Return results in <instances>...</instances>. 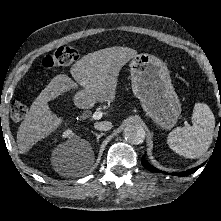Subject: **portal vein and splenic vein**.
Wrapping results in <instances>:
<instances>
[{
	"label": "portal vein and splenic vein",
	"mask_w": 221,
	"mask_h": 221,
	"mask_svg": "<svg viewBox=\"0 0 221 221\" xmlns=\"http://www.w3.org/2000/svg\"><path fill=\"white\" fill-rule=\"evenodd\" d=\"M102 115H103V113L101 111H96L93 113L92 118L94 120H99V119H101Z\"/></svg>",
	"instance_id": "portal-vein-and-splenic-vein-1"
}]
</instances>
